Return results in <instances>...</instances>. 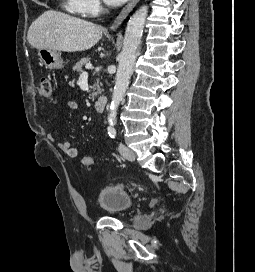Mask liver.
<instances>
[{
    "label": "liver",
    "mask_w": 255,
    "mask_h": 272,
    "mask_svg": "<svg viewBox=\"0 0 255 272\" xmlns=\"http://www.w3.org/2000/svg\"><path fill=\"white\" fill-rule=\"evenodd\" d=\"M102 33L103 28L92 22L48 10L30 25L27 40L36 49L77 52L93 47Z\"/></svg>",
    "instance_id": "1"
}]
</instances>
